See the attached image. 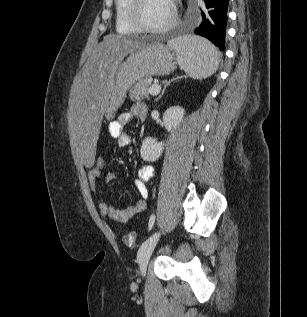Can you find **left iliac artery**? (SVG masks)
Wrapping results in <instances>:
<instances>
[{
  "instance_id": "1",
  "label": "left iliac artery",
  "mask_w": 307,
  "mask_h": 317,
  "mask_svg": "<svg viewBox=\"0 0 307 317\" xmlns=\"http://www.w3.org/2000/svg\"><path fill=\"white\" fill-rule=\"evenodd\" d=\"M154 222H155V215L152 214V215L150 216L149 224H148L149 231L152 229V227H153V225H154Z\"/></svg>"
}]
</instances>
